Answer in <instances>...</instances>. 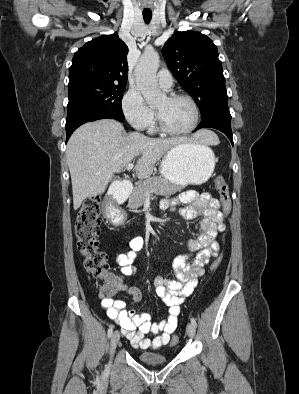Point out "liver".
I'll return each mask as SVG.
<instances>
[{"label": "liver", "mask_w": 299, "mask_h": 394, "mask_svg": "<svg viewBox=\"0 0 299 394\" xmlns=\"http://www.w3.org/2000/svg\"><path fill=\"white\" fill-rule=\"evenodd\" d=\"M194 142L218 144V137L207 130L197 132ZM189 141L187 138H151L139 132L124 135V127L113 119L85 123L70 137L66 158L69 167L73 206L77 210L89 197L105 192L114 173H120L132 160L141 155L134 171L148 178L155 164L172 147Z\"/></svg>", "instance_id": "1"}]
</instances>
